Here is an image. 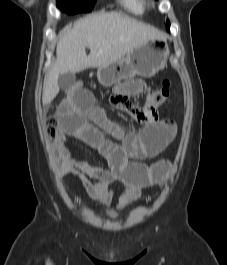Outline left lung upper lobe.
Instances as JSON below:
<instances>
[{
	"instance_id": "obj_1",
	"label": "left lung upper lobe",
	"mask_w": 227,
	"mask_h": 265,
	"mask_svg": "<svg viewBox=\"0 0 227 265\" xmlns=\"http://www.w3.org/2000/svg\"><path fill=\"white\" fill-rule=\"evenodd\" d=\"M166 28H167V30H169V28H170V23H169V21H167Z\"/></svg>"
}]
</instances>
